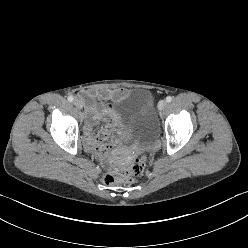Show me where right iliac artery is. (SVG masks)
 I'll list each match as a JSON object with an SVG mask.
<instances>
[{"instance_id": "obj_1", "label": "right iliac artery", "mask_w": 248, "mask_h": 248, "mask_svg": "<svg viewBox=\"0 0 248 248\" xmlns=\"http://www.w3.org/2000/svg\"><path fill=\"white\" fill-rule=\"evenodd\" d=\"M67 99H68L69 102H72L73 101V97L72 96H68Z\"/></svg>"}]
</instances>
